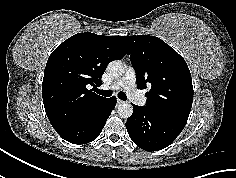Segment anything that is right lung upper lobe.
Here are the masks:
<instances>
[{"label": "right lung upper lobe", "instance_id": "1", "mask_svg": "<svg viewBox=\"0 0 236 178\" xmlns=\"http://www.w3.org/2000/svg\"><path fill=\"white\" fill-rule=\"evenodd\" d=\"M128 52L123 36L94 33L75 34L52 52L44 71L42 97L57 132L80 125L99 110L108 98L93 90L102 84L107 64Z\"/></svg>", "mask_w": 236, "mask_h": 178}]
</instances>
